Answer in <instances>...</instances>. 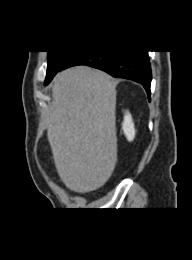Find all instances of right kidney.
Returning <instances> with one entry per match:
<instances>
[{
  "label": "right kidney",
  "instance_id": "right-kidney-1",
  "mask_svg": "<svg viewBox=\"0 0 192 260\" xmlns=\"http://www.w3.org/2000/svg\"><path fill=\"white\" fill-rule=\"evenodd\" d=\"M123 132L128 141H132L135 137V127L131 117V114L127 112L124 116V121L122 125Z\"/></svg>",
  "mask_w": 192,
  "mask_h": 260
}]
</instances>
